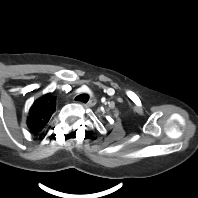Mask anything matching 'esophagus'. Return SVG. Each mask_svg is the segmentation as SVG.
<instances>
[{
    "label": "esophagus",
    "instance_id": "34e87169",
    "mask_svg": "<svg viewBox=\"0 0 198 198\" xmlns=\"http://www.w3.org/2000/svg\"><path fill=\"white\" fill-rule=\"evenodd\" d=\"M96 102H97L96 99H91L86 104H84V106H86V107H93L96 104Z\"/></svg>",
    "mask_w": 198,
    "mask_h": 198
}]
</instances>
